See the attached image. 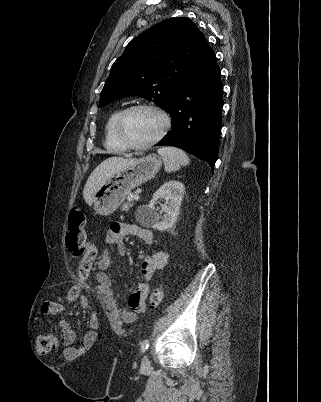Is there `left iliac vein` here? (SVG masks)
<instances>
[{
    "mask_svg": "<svg viewBox=\"0 0 321 402\" xmlns=\"http://www.w3.org/2000/svg\"><path fill=\"white\" fill-rule=\"evenodd\" d=\"M142 367L143 368H149L150 367V361L147 357V355H144L142 358Z\"/></svg>",
    "mask_w": 321,
    "mask_h": 402,
    "instance_id": "1",
    "label": "left iliac vein"
}]
</instances>
